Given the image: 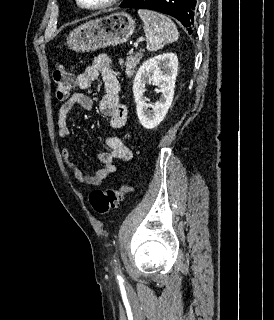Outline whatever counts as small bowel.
<instances>
[{
  "label": "small bowel",
  "instance_id": "c3829d8e",
  "mask_svg": "<svg viewBox=\"0 0 274 320\" xmlns=\"http://www.w3.org/2000/svg\"><path fill=\"white\" fill-rule=\"evenodd\" d=\"M101 76L104 95L99 103L100 112L109 118L108 126L113 130L123 128L128 119L127 107L120 101L121 85L116 76L109 58L106 55L98 56L94 62L77 76V86L80 89L89 88ZM79 104L86 110L93 109L92 99L83 93L72 94L58 110L57 127L60 138L66 139L71 131L68 126L69 114L73 107ZM130 137L129 133L105 137V144L109 151L99 155L102 165L94 174H85L71 159L68 147H63L61 156L66 166L73 172L74 178L81 185H100L116 172L114 160L129 161L132 152L126 145Z\"/></svg>",
  "mask_w": 274,
  "mask_h": 320
}]
</instances>
